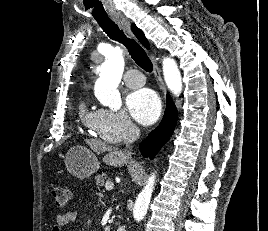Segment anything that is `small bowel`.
Segmentation results:
<instances>
[{
  "mask_svg": "<svg viewBox=\"0 0 268 231\" xmlns=\"http://www.w3.org/2000/svg\"><path fill=\"white\" fill-rule=\"evenodd\" d=\"M78 219V212L70 210L65 213H59L55 219V226L53 231H60L62 228L74 224Z\"/></svg>",
  "mask_w": 268,
  "mask_h": 231,
  "instance_id": "c3829d8e",
  "label": "small bowel"
}]
</instances>
